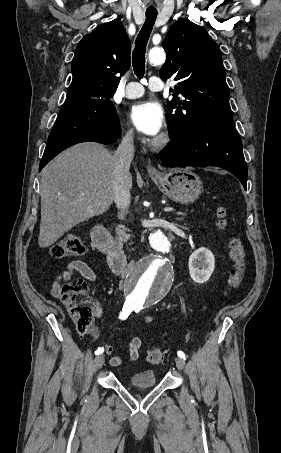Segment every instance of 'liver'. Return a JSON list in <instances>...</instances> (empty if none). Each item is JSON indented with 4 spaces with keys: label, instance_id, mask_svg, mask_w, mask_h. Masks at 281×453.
<instances>
[{
    "label": "liver",
    "instance_id": "6515ba94",
    "mask_svg": "<svg viewBox=\"0 0 281 453\" xmlns=\"http://www.w3.org/2000/svg\"><path fill=\"white\" fill-rule=\"evenodd\" d=\"M115 160L99 142H79L44 166L39 247L45 249L115 200ZM132 186V176H129Z\"/></svg>",
    "mask_w": 281,
    "mask_h": 453
}]
</instances>
